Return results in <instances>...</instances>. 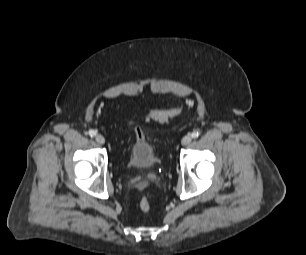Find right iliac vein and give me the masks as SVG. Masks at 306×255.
I'll return each instance as SVG.
<instances>
[{
  "label": "right iliac vein",
  "mask_w": 306,
  "mask_h": 255,
  "mask_svg": "<svg viewBox=\"0 0 306 255\" xmlns=\"http://www.w3.org/2000/svg\"><path fill=\"white\" fill-rule=\"evenodd\" d=\"M95 140L99 144H104L105 143V138L101 134H97L95 136Z\"/></svg>",
  "instance_id": "right-iliac-vein-1"
}]
</instances>
